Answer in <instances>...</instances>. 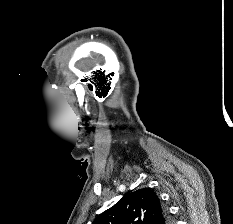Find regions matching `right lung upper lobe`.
<instances>
[{"instance_id": "obj_1", "label": "right lung upper lobe", "mask_w": 233, "mask_h": 224, "mask_svg": "<svg viewBox=\"0 0 233 224\" xmlns=\"http://www.w3.org/2000/svg\"><path fill=\"white\" fill-rule=\"evenodd\" d=\"M171 219L159 198L144 188L127 194L100 214L92 224H170Z\"/></svg>"}]
</instances>
